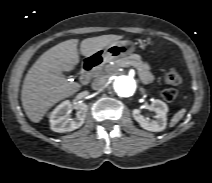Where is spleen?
Returning <instances> with one entry per match:
<instances>
[{
    "mask_svg": "<svg viewBox=\"0 0 212 183\" xmlns=\"http://www.w3.org/2000/svg\"><path fill=\"white\" fill-rule=\"evenodd\" d=\"M185 112H186V109H185V108L179 110V111L172 117L169 126H170V127L175 126V125L183 118V116L185 115Z\"/></svg>",
    "mask_w": 212,
    "mask_h": 183,
    "instance_id": "1",
    "label": "spleen"
}]
</instances>
